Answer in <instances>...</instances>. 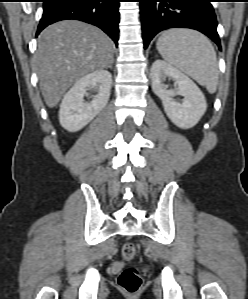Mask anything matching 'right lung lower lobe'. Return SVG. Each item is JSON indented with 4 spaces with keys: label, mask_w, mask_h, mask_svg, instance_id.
<instances>
[{
    "label": "right lung lower lobe",
    "mask_w": 248,
    "mask_h": 299,
    "mask_svg": "<svg viewBox=\"0 0 248 299\" xmlns=\"http://www.w3.org/2000/svg\"><path fill=\"white\" fill-rule=\"evenodd\" d=\"M120 0H43V15L36 36L48 25L75 19L101 28L118 45Z\"/></svg>",
    "instance_id": "right-lung-lower-lobe-1"
}]
</instances>
